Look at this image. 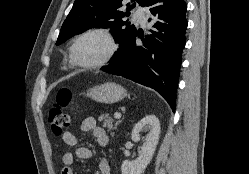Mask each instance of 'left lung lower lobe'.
<instances>
[{
  "mask_svg": "<svg viewBox=\"0 0 249 174\" xmlns=\"http://www.w3.org/2000/svg\"><path fill=\"white\" fill-rule=\"evenodd\" d=\"M153 22L149 34L136 33L118 58L102 71L119 75L155 89L175 112L176 90L185 46L187 6L184 0H149L146 5ZM139 36L143 45L137 46Z\"/></svg>",
  "mask_w": 249,
  "mask_h": 174,
  "instance_id": "obj_1",
  "label": "left lung lower lobe"
}]
</instances>
